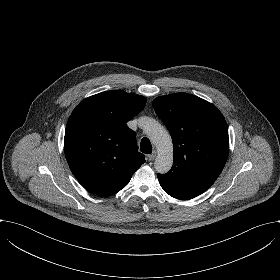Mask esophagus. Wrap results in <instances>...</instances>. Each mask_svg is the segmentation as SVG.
Wrapping results in <instances>:
<instances>
[{
	"mask_svg": "<svg viewBox=\"0 0 280 280\" xmlns=\"http://www.w3.org/2000/svg\"><path fill=\"white\" fill-rule=\"evenodd\" d=\"M155 157H156V151H153L151 154L147 155V160L153 161Z\"/></svg>",
	"mask_w": 280,
	"mask_h": 280,
	"instance_id": "esophagus-1",
	"label": "esophagus"
}]
</instances>
